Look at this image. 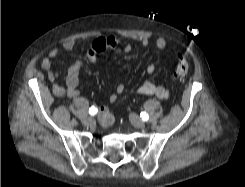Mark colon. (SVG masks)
Segmentation results:
<instances>
[{"label":"colon","mask_w":245,"mask_h":187,"mask_svg":"<svg viewBox=\"0 0 245 187\" xmlns=\"http://www.w3.org/2000/svg\"><path fill=\"white\" fill-rule=\"evenodd\" d=\"M176 66H175V76L180 80L184 81L188 71L189 65L185 56L181 53H177L175 56Z\"/></svg>","instance_id":"5ec220e1"}]
</instances>
